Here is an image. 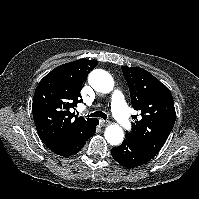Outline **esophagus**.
I'll return each instance as SVG.
<instances>
[{"mask_svg":"<svg viewBox=\"0 0 199 199\" xmlns=\"http://www.w3.org/2000/svg\"><path fill=\"white\" fill-rule=\"evenodd\" d=\"M100 124H101L102 126H107V125L109 124V121H106V120L101 119V120H100Z\"/></svg>","mask_w":199,"mask_h":199,"instance_id":"obj_1","label":"esophagus"}]
</instances>
